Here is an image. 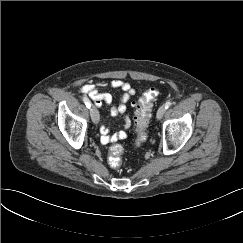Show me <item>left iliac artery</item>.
<instances>
[{"label": "left iliac artery", "instance_id": "1", "mask_svg": "<svg viewBox=\"0 0 243 243\" xmlns=\"http://www.w3.org/2000/svg\"><path fill=\"white\" fill-rule=\"evenodd\" d=\"M171 105H172V102L167 101V102L164 104L165 109H168Z\"/></svg>", "mask_w": 243, "mask_h": 243}]
</instances>
